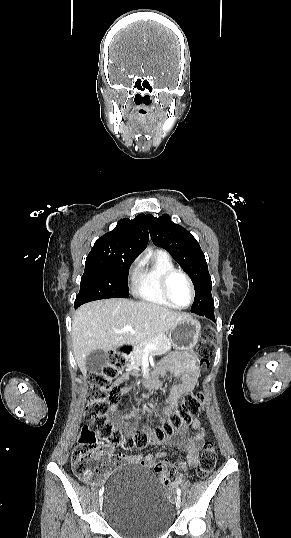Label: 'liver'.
Listing matches in <instances>:
<instances>
[{
    "mask_svg": "<svg viewBox=\"0 0 291 538\" xmlns=\"http://www.w3.org/2000/svg\"><path fill=\"white\" fill-rule=\"evenodd\" d=\"M188 317L158 304L122 298L84 304L75 311L72 322L75 360L86 375V357L92 351L136 345L163 335ZM126 325L133 331L117 333Z\"/></svg>",
    "mask_w": 291,
    "mask_h": 538,
    "instance_id": "obj_1",
    "label": "liver"
}]
</instances>
